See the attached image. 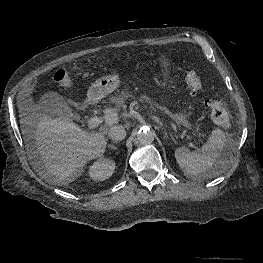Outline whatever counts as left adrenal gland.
Masks as SVG:
<instances>
[{
    "instance_id": "left-adrenal-gland-1",
    "label": "left adrenal gland",
    "mask_w": 263,
    "mask_h": 263,
    "mask_svg": "<svg viewBox=\"0 0 263 263\" xmlns=\"http://www.w3.org/2000/svg\"><path fill=\"white\" fill-rule=\"evenodd\" d=\"M164 134H165V138H167L168 134L165 130H164Z\"/></svg>"
}]
</instances>
